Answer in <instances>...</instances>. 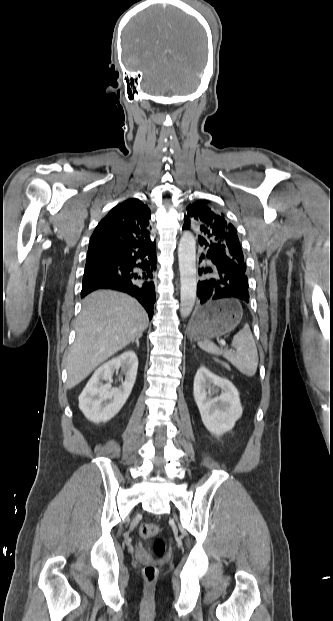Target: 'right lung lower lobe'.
Instances as JSON below:
<instances>
[{"label":"right lung lower lobe","instance_id":"obj_1","mask_svg":"<svg viewBox=\"0 0 333 621\" xmlns=\"http://www.w3.org/2000/svg\"><path fill=\"white\" fill-rule=\"evenodd\" d=\"M156 246L143 251L103 252L87 255L81 297L97 289H114L135 297L151 319L155 286Z\"/></svg>","mask_w":333,"mask_h":621}]
</instances>
